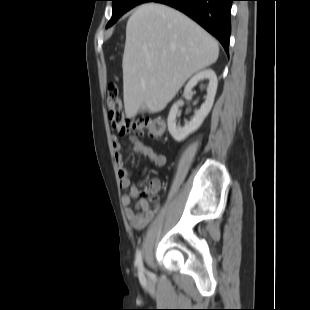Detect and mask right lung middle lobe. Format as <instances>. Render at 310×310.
Returning a JSON list of instances; mask_svg holds the SVG:
<instances>
[{"mask_svg": "<svg viewBox=\"0 0 310 310\" xmlns=\"http://www.w3.org/2000/svg\"><path fill=\"white\" fill-rule=\"evenodd\" d=\"M113 1V13L112 18L107 24L106 28L113 25L124 13H126L131 8L135 7L149 0H111Z\"/></svg>", "mask_w": 310, "mask_h": 310, "instance_id": "1", "label": "right lung middle lobe"}]
</instances>
